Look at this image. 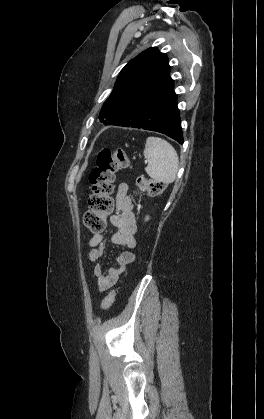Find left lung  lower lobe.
Segmentation results:
<instances>
[{
    "label": "left lung lower lobe",
    "instance_id": "1",
    "mask_svg": "<svg viewBox=\"0 0 264 419\" xmlns=\"http://www.w3.org/2000/svg\"><path fill=\"white\" fill-rule=\"evenodd\" d=\"M103 123L156 131L183 143L177 96L171 78L146 88L128 111L113 115Z\"/></svg>",
    "mask_w": 264,
    "mask_h": 419
}]
</instances>
